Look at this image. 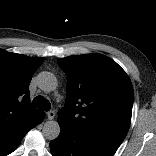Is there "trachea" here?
<instances>
[{"label":"trachea","instance_id":"obj_1","mask_svg":"<svg viewBox=\"0 0 156 156\" xmlns=\"http://www.w3.org/2000/svg\"><path fill=\"white\" fill-rule=\"evenodd\" d=\"M32 105L44 111H49L51 108L50 102L47 99H45L43 96L35 97L32 102Z\"/></svg>","mask_w":156,"mask_h":156}]
</instances>
